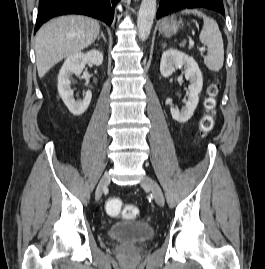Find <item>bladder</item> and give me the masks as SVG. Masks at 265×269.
Returning a JSON list of instances; mask_svg holds the SVG:
<instances>
[{"instance_id": "1", "label": "bladder", "mask_w": 265, "mask_h": 269, "mask_svg": "<svg viewBox=\"0 0 265 269\" xmlns=\"http://www.w3.org/2000/svg\"><path fill=\"white\" fill-rule=\"evenodd\" d=\"M154 226L147 221H121L111 225L107 235L113 240L150 241L155 237Z\"/></svg>"}]
</instances>
